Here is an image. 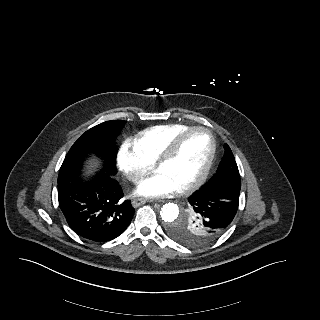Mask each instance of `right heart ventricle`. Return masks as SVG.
Listing matches in <instances>:
<instances>
[{
	"label": "right heart ventricle",
	"mask_w": 320,
	"mask_h": 320,
	"mask_svg": "<svg viewBox=\"0 0 320 320\" xmlns=\"http://www.w3.org/2000/svg\"><path fill=\"white\" fill-rule=\"evenodd\" d=\"M189 127L180 123L153 126L140 132L134 142L144 157L148 161L154 162L171 140Z\"/></svg>",
	"instance_id": "1"
}]
</instances>
